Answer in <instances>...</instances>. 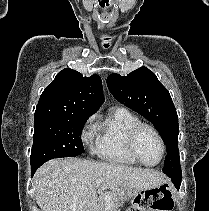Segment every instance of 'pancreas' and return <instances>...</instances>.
<instances>
[{"instance_id": "1", "label": "pancreas", "mask_w": 209, "mask_h": 211, "mask_svg": "<svg viewBox=\"0 0 209 211\" xmlns=\"http://www.w3.org/2000/svg\"><path fill=\"white\" fill-rule=\"evenodd\" d=\"M106 196H110V202L112 204L113 211H118V208L123 206L124 198L122 197V195L118 192L111 190L109 192L101 194V196L99 197L98 200H99L100 211H105V207L108 202L106 200Z\"/></svg>"}]
</instances>
